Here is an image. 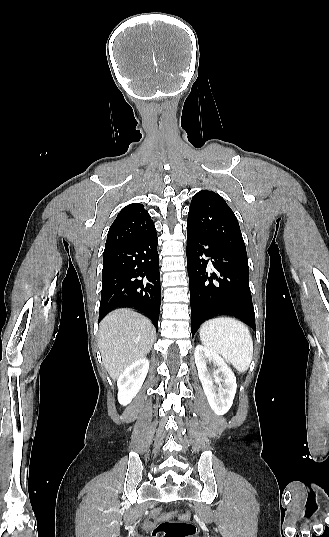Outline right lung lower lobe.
<instances>
[{
    "mask_svg": "<svg viewBox=\"0 0 329 537\" xmlns=\"http://www.w3.org/2000/svg\"><path fill=\"white\" fill-rule=\"evenodd\" d=\"M157 234L105 248L99 321L110 311L133 307L158 327L161 286Z\"/></svg>",
    "mask_w": 329,
    "mask_h": 537,
    "instance_id": "98d812e1",
    "label": "right lung lower lobe"
}]
</instances>
